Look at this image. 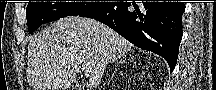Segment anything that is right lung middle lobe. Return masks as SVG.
I'll use <instances>...</instances> for the list:
<instances>
[{"label": "right lung middle lobe", "mask_w": 216, "mask_h": 90, "mask_svg": "<svg viewBox=\"0 0 216 90\" xmlns=\"http://www.w3.org/2000/svg\"><path fill=\"white\" fill-rule=\"evenodd\" d=\"M103 3L85 2H29L26 9L29 33H33L44 23L66 16H77Z\"/></svg>", "instance_id": "obj_1"}]
</instances>
